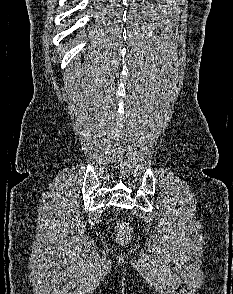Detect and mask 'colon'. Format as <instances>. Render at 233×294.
I'll return each mask as SVG.
<instances>
[{"mask_svg":"<svg viewBox=\"0 0 233 294\" xmlns=\"http://www.w3.org/2000/svg\"><path fill=\"white\" fill-rule=\"evenodd\" d=\"M131 228L127 223L120 222L117 226V237L120 241L125 242L130 238Z\"/></svg>","mask_w":233,"mask_h":294,"instance_id":"5ec220e1","label":"colon"}]
</instances>
